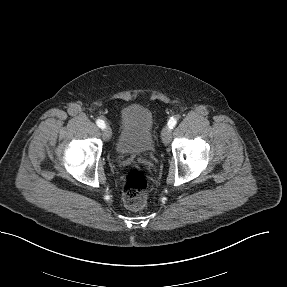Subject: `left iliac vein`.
Here are the masks:
<instances>
[{"label":"left iliac vein","instance_id":"obj_1","mask_svg":"<svg viewBox=\"0 0 287 287\" xmlns=\"http://www.w3.org/2000/svg\"><path fill=\"white\" fill-rule=\"evenodd\" d=\"M162 141L167 145L171 140V130L169 127H164L161 132Z\"/></svg>","mask_w":287,"mask_h":287}]
</instances>
